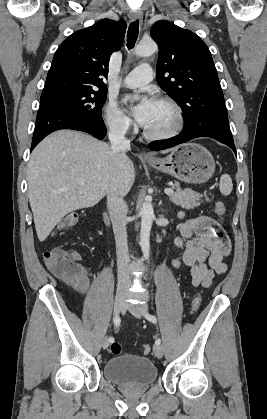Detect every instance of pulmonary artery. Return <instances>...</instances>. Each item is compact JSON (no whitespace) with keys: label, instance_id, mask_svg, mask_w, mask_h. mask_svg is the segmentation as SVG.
Listing matches in <instances>:
<instances>
[{"label":"pulmonary artery","instance_id":"e3ab8cb5","mask_svg":"<svg viewBox=\"0 0 267 419\" xmlns=\"http://www.w3.org/2000/svg\"><path fill=\"white\" fill-rule=\"evenodd\" d=\"M153 78V69L149 64H141L133 69L123 80L126 87H141Z\"/></svg>","mask_w":267,"mask_h":419}]
</instances>
